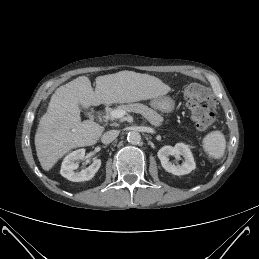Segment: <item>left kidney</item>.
Masks as SVG:
<instances>
[{
	"label": "left kidney",
	"mask_w": 259,
	"mask_h": 259,
	"mask_svg": "<svg viewBox=\"0 0 259 259\" xmlns=\"http://www.w3.org/2000/svg\"><path fill=\"white\" fill-rule=\"evenodd\" d=\"M183 156L185 161L181 165H175L169 161V156ZM162 167L169 173L174 175H185L195 169V161L189 147L184 143H177L174 147L164 146L158 153Z\"/></svg>",
	"instance_id": "obj_1"
}]
</instances>
